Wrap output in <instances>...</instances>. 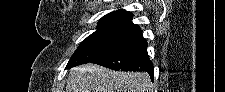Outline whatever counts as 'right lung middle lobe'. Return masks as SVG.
Segmentation results:
<instances>
[{"mask_svg":"<svg viewBox=\"0 0 225 92\" xmlns=\"http://www.w3.org/2000/svg\"><path fill=\"white\" fill-rule=\"evenodd\" d=\"M142 37V30L120 24H99L97 30L80 43L66 69L89 63L97 57L126 46Z\"/></svg>","mask_w":225,"mask_h":92,"instance_id":"dd1d6c3e","label":"right lung middle lobe"}]
</instances>
